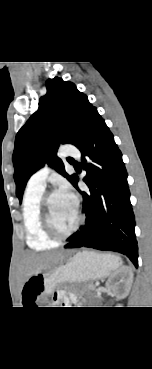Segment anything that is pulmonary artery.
Here are the masks:
<instances>
[{"instance_id": "pulmonary-artery-1", "label": "pulmonary artery", "mask_w": 152, "mask_h": 369, "mask_svg": "<svg viewBox=\"0 0 152 369\" xmlns=\"http://www.w3.org/2000/svg\"><path fill=\"white\" fill-rule=\"evenodd\" d=\"M60 155L64 157H78L79 151L72 145H64L60 149ZM49 172L50 169L47 165L34 172L28 180L27 187L44 190Z\"/></svg>"}]
</instances>
